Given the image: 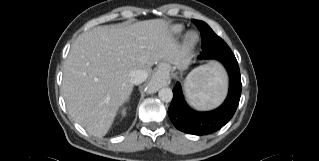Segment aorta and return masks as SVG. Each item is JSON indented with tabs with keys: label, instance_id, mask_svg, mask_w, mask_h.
I'll return each instance as SVG.
<instances>
[{
	"label": "aorta",
	"instance_id": "obj_1",
	"mask_svg": "<svg viewBox=\"0 0 319 161\" xmlns=\"http://www.w3.org/2000/svg\"><path fill=\"white\" fill-rule=\"evenodd\" d=\"M158 96L163 102H170L173 98V93L170 88L164 87L159 90Z\"/></svg>",
	"mask_w": 319,
	"mask_h": 161
}]
</instances>
